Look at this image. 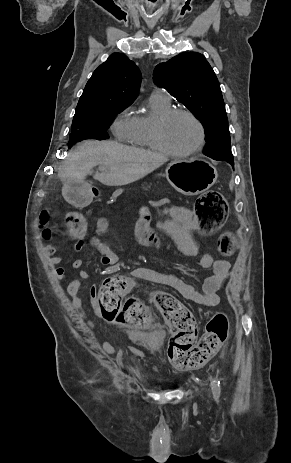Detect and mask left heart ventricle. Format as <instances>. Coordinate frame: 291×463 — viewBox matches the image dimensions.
Instances as JSON below:
<instances>
[{
  "label": "left heart ventricle",
  "instance_id": "obj_1",
  "mask_svg": "<svg viewBox=\"0 0 291 463\" xmlns=\"http://www.w3.org/2000/svg\"><path fill=\"white\" fill-rule=\"evenodd\" d=\"M165 143L175 151H185L195 146L199 140V129L187 116H176L163 128Z\"/></svg>",
  "mask_w": 291,
  "mask_h": 463
}]
</instances>
